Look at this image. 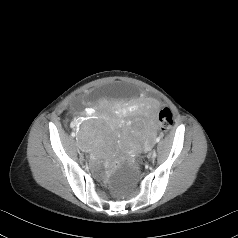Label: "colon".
Here are the masks:
<instances>
[{"mask_svg": "<svg viewBox=\"0 0 238 238\" xmlns=\"http://www.w3.org/2000/svg\"><path fill=\"white\" fill-rule=\"evenodd\" d=\"M157 120L161 127V130L167 131L171 128L173 123L172 113L167 107H160L157 111ZM117 163H112L110 168L105 171V175L101 177V182L103 184H108L110 182V178L114 176V169H116Z\"/></svg>", "mask_w": 238, "mask_h": 238, "instance_id": "colon-1", "label": "colon"}]
</instances>
